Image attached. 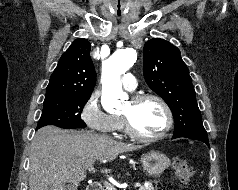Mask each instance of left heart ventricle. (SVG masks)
I'll return each mask as SVG.
<instances>
[{"mask_svg": "<svg viewBox=\"0 0 238 190\" xmlns=\"http://www.w3.org/2000/svg\"><path fill=\"white\" fill-rule=\"evenodd\" d=\"M121 114L129 115L134 128L145 135L158 134L166 124L165 113L154 100H145L137 105L128 101Z\"/></svg>", "mask_w": 238, "mask_h": 190, "instance_id": "1", "label": "left heart ventricle"}]
</instances>
